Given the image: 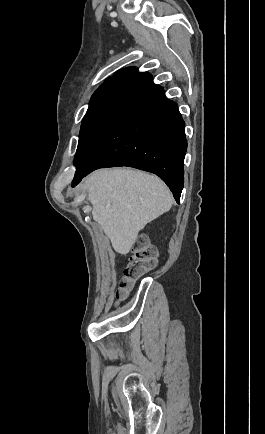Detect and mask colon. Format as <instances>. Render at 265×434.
Masks as SVG:
<instances>
[{"label": "colon", "instance_id": "obj_1", "mask_svg": "<svg viewBox=\"0 0 265 434\" xmlns=\"http://www.w3.org/2000/svg\"><path fill=\"white\" fill-rule=\"evenodd\" d=\"M157 252L152 245H148L146 240L138 237L129 262L123 267L116 285V295L119 299L127 296L133 282L146 275L156 266Z\"/></svg>", "mask_w": 265, "mask_h": 434}]
</instances>
